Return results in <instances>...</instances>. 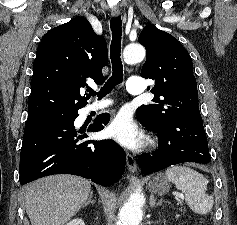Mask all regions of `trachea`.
Wrapping results in <instances>:
<instances>
[{"label": "trachea", "mask_w": 237, "mask_h": 225, "mask_svg": "<svg viewBox=\"0 0 237 225\" xmlns=\"http://www.w3.org/2000/svg\"><path fill=\"white\" fill-rule=\"evenodd\" d=\"M110 28L112 31V41L110 46V59L112 63V76L107 80L99 92L90 90L92 96L97 95L98 99L109 94L112 89L120 84L123 80V64L121 61V36H122V20L121 16L113 17L110 20Z\"/></svg>", "instance_id": "3493384b"}]
</instances>
